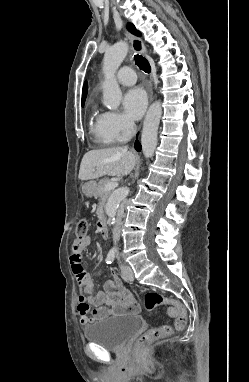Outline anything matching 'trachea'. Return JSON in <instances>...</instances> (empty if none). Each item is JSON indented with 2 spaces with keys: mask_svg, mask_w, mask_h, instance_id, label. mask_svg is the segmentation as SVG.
Listing matches in <instances>:
<instances>
[{
  "mask_svg": "<svg viewBox=\"0 0 249 382\" xmlns=\"http://www.w3.org/2000/svg\"><path fill=\"white\" fill-rule=\"evenodd\" d=\"M134 60L141 70H143L146 73H150L151 71L150 64L144 57L140 55H135Z\"/></svg>",
  "mask_w": 249,
  "mask_h": 382,
  "instance_id": "1",
  "label": "trachea"
}]
</instances>
